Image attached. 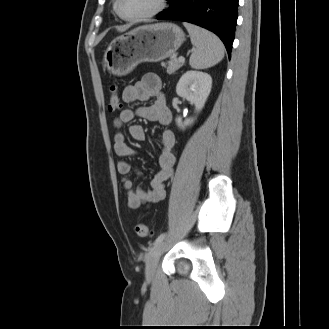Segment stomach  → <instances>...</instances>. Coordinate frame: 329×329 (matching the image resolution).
Listing matches in <instances>:
<instances>
[{
	"label": "stomach",
	"mask_w": 329,
	"mask_h": 329,
	"mask_svg": "<svg viewBox=\"0 0 329 329\" xmlns=\"http://www.w3.org/2000/svg\"><path fill=\"white\" fill-rule=\"evenodd\" d=\"M184 40V32L173 23L140 26L111 41L104 53V64L112 74L126 75L139 63L159 62L172 56Z\"/></svg>",
	"instance_id": "1"
}]
</instances>
